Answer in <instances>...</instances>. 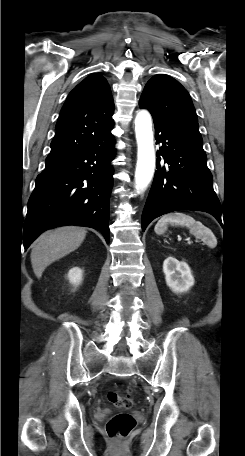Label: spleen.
Wrapping results in <instances>:
<instances>
[{
  "mask_svg": "<svg viewBox=\"0 0 245 456\" xmlns=\"http://www.w3.org/2000/svg\"><path fill=\"white\" fill-rule=\"evenodd\" d=\"M168 224L187 227L192 235L202 239L210 247H214L217 244L212 231L204 226L200 221H196L193 217L187 214L175 212L162 216L155 225V233L163 235L167 230Z\"/></svg>",
  "mask_w": 245,
  "mask_h": 456,
  "instance_id": "obj_1",
  "label": "spleen"
}]
</instances>
